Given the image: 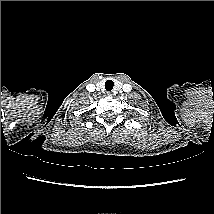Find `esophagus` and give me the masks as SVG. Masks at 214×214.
<instances>
[{
	"instance_id": "esophagus-1",
	"label": "esophagus",
	"mask_w": 214,
	"mask_h": 214,
	"mask_svg": "<svg viewBox=\"0 0 214 214\" xmlns=\"http://www.w3.org/2000/svg\"><path fill=\"white\" fill-rule=\"evenodd\" d=\"M106 94H107V96H109V97H111V96L113 95V93L110 92V91H108Z\"/></svg>"
}]
</instances>
